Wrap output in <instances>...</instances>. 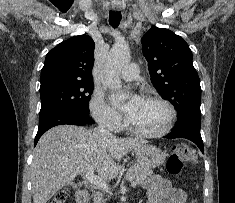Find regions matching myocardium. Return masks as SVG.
I'll return each instance as SVG.
<instances>
[{
    "mask_svg": "<svg viewBox=\"0 0 235 203\" xmlns=\"http://www.w3.org/2000/svg\"><path fill=\"white\" fill-rule=\"evenodd\" d=\"M144 100L151 101V102H158L162 104L163 106H165L168 115H167V119L164 125L160 129L155 130V131H145V130L136 128L130 123L129 119H127L126 128L128 129V131H130L131 133L137 136L146 137V138H157V137H162L168 134L173 128L174 123L176 121V116H177L176 110L174 106L172 105V103L163 97L152 96V95L145 97Z\"/></svg>",
    "mask_w": 235,
    "mask_h": 203,
    "instance_id": "f54148a6",
    "label": "myocardium"
}]
</instances>
